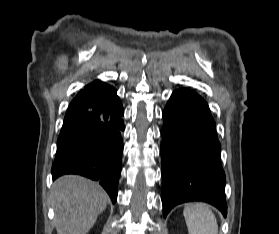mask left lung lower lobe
I'll return each mask as SVG.
<instances>
[{
    "label": "left lung lower lobe",
    "instance_id": "obj_1",
    "mask_svg": "<svg viewBox=\"0 0 279 234\" xmlns=\"http://www.w3.org/2000/svg\"><path fill=\"white\" fill-rule=\"evenodd\" d=\"M162 204L164 217L176 205L205 201L227 215L220 143L207 103L178 89L163 111Z\"/></svg>",
    "mask_w": 279,
    "mask_h": 234
}]
</instances>
